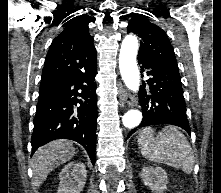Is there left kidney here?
Segmentation results:
<instances>
[{
	"label": "left kidney",
	"instance_id": "left-kidney-1",
	"mask_svg": "<svg viewBox=\"0 0 221 193\" xmlns=\"http://www.w3.org/2000/svg\"><path fill=\"white\" fill-rule=\"evenodd\" d=\"M140 176L144 184L154 193H163L167 189V173L161 167H143Z\"/></svg>",
	"mask_w": 221,
	"mask_h": 193
}]
</instances>
